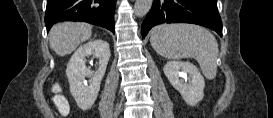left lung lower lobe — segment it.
Here are the masks:
<instances>
[{
	"label": "left lung lower lobe",
	"instance_id": "1",
	"mask_svg": "<svg viewBox=\"0 0 273 118\" xmlns=\"http://www.w3.org/2000/svg\"><path fill=\"white\" fill-rule=\"evenodd\" d=\"M154 0L141 26L142 37L162 23H191L208 27L222 36L217 0Z\"/></svg>",
	"mask_w": 273,
	"mask_h": 118
}]
</instances>
